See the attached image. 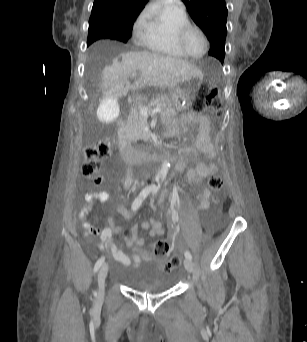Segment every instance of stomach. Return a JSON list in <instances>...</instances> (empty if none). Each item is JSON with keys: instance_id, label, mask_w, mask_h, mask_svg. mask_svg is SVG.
Here are the masks:
<instances>
[{"instance_id": "0dacf381", "label": "stomach", "mask_w": 307, "mask_h": 342, "mask_svg": "<svg viewBox=\"0 0 307 342\" xmlns=\"http://www.w3.org/2000/svg\"><path fill=\"white\" fill-rule=\"evenodd\" d=\"M201 85V78L193 77L176 87L171 94V101L178 111L186 110L191 104Z\"/></svg>"}]
</instances>
